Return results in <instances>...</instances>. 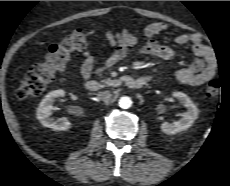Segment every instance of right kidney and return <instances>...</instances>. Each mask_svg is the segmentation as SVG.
<instances>
[{
  "label": "right kidney",
  "instance_id": "1",
  "mask_svg": "<svg viewBox=\"0 0 230 186\" xmlns=\"http://www.w3.org/2000/svg\"><path fill=\"white\" fill-rule=\"evenodd\" d=\"M64 95V90H54L48 93L40 102L39 107L36 111V115L37 119L44 127L58 131H65L71 128V123L66 118L54 120L50 117L55 99L58 97H63Z\"/></svg>",
  "mask_w": 230,
  "mask_h": 186
}]
</instances>
